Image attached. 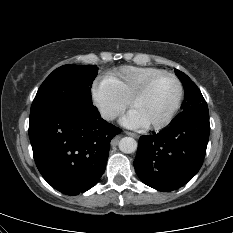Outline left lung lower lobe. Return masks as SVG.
Here are the masks:
<instances>
[{"label": "left lung lower lobe", "instance_id": "left-lung-lower-lobe-1", "mask_svg": "<svg viewBox=\"0 0 233 233\" xmlns=\"http://www.w3.org/2000/svg\"><path fill=\"white\" fill-rule=\"evenodd\" d=\"M209 132L206 102L183 110L164 131L140 137L133 163L137 175L158 191L184 186L203 164Z\"/></svg>", "mask_w": 233, "mask_h": 233}]
</instances>
